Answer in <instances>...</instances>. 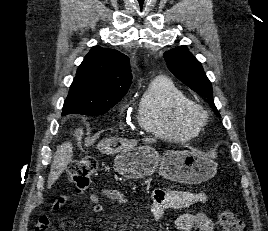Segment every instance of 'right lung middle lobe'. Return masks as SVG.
Masks as SVG:
<instances>
[{
  "instance_id": "right-lung-middle-lobe-1",
  "label": "right lung middle lobe",
  "mask_w": 268,
  "mask_h": 231,
  "mask_svg": "<svg viewBox=\"0 0 268 231\" xmlns=\"http://www.w3.org/2000/svg\"><path fill=\"white\" fill-rule=\"evenodd\" d=\"M120 100L105 101L96 105H81L74 102L65 103L63 106V115L70 113H80L83 115H101L106 113L110 108L116 105Z\"/></svg>"
}]
</instances>
